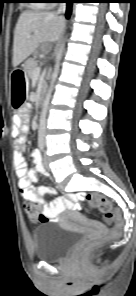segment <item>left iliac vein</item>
Here are the masks:
<instances>
[{
    "instance_id": "left-iliac-vein-1",
    "label": "left iliac vein",
    "mask_w": 136,
    "mask_h": 296,
    "mask_svg": "<svg viewBox=\"0 0 136 296\" xmlns=\"http://www.w3.org/2000/svg\"><path fill=\"white\" fill-rule=\"evenodd\" d=\"M44 165H45L46 169H49V164H48V159H47L46 154H44Z\"/></svg>"
}]
</instances>
